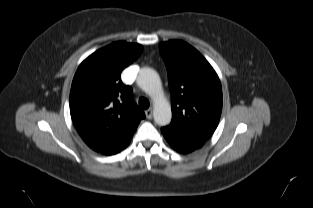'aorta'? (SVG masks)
I'll use <instances>...</instances> for the list:
<instances>
[{"label":"aorta","mask_w":313,"mask_h":208,"mask_svg":"<svg viewBox=\"0 0 313 208\" xmlns=\"http://www.w3.org/2000/svg\"><path fill=\"white\" fill-rule=\"evenodd\" d=\"M139 87L154 100V121L157 125L165 126L171 122L172 111L169 102L165 99L161 80L157 72L150 68L142 69L137 77Z\"/></svg>","instance_id":"762f6f07"}]
</instances>
